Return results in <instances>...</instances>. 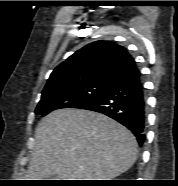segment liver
Listing matches in <instances>:
<instances>
[{
    "label": "liver",
    "mask_w": 178,
    "mask_h": 186,
    "mask_svg": "<svg viewBox=\"0 0 178 186\" xmlns=\"http://www.w3.org/2000/svg\"><path fill=\"white\" fill-rule=\"evenodd\" d=\"M134 135L97 112L59 109L42 118L35 130V149L27 180H111L137 159Z\"/></svg>",
    "instance_id": "liver-1"
}]
</instances>
